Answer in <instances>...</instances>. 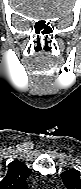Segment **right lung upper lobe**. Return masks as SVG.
Masks as SVG:
<instances>
[{
	"label": "right lung upper lobe",
	"mask_w": 81,
	"mask_h": 189,
	"mask_svg": "<svg viewBox=\"0 0 81 189\" xmlns=\"http://www.w3.org/2000/svg\"><path fill=\"white\" fill-rule=\"evenodd\" d=\"M31 174L25 164L20 161H13L8 165V173L0 182V189H28L26 179Z\"/></svg>",
	"instance_id": "cb5924a9"
}]
</instances>
